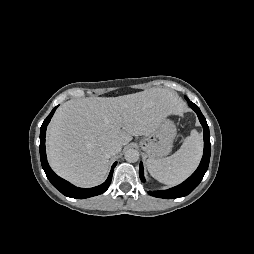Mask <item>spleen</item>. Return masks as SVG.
I'll use <instances>...</instances> for the list:
<instances>
[{"label":"spleen","mask_w":254,"mask_h":254,"mask_svg":"<svg viewBox=\"0 0 254 254\" xmlns=\"http://www.w3.org/2000/svg\"><path fill=\"white\" fill-rule=\"evenodd\" d=\"M203 152L201 134L192 130L180 149L162 159H148L147 169L152 177L166 185H177L197 168Z\"/></svg>","instance_id":"3e777b00"}]
</instances>
